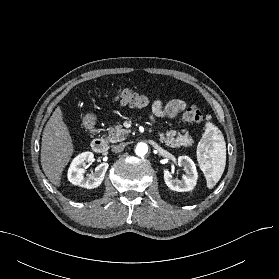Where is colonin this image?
<instances>
[{"label": "colon", "mask_w": 279, "mask_h": 279, "mask_svg": "<svg viewBox=\"0 0 279 279\" xmlns=\"http://www.w3.org/2000/svg\"><path fill=\"white\" fill-rule=\"evenodd\" d=\"M114 97L119 103L131 107H145L150 102L149 96L122 87L116 88ZM182 117L186 122L198 123L202 121L203 114L197 105H192L186 109Z\"/></svg>", "instance_id": "colon-1"}]
</instances>
